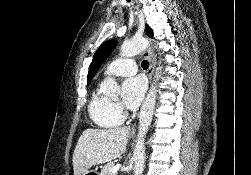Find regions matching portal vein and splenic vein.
I'll return each instance as SVG.
<instances>
[{"label": "portal vein and splenic vein", "mask_w": 251, "mask_h": 175, "mask_svg": "<svg viewBox=\"0 0 251 175\" xmlns=\"http://www.w3.org/2000/svg\"><path fill=\"white\" fill-rule=\"evenodd\" d=\"M119 167H121V163H117V165H114V167L112 169V173H117Z\"/></svg>", "instance_id": "portal-vein-and-splenic-vein-1"}]
</instances>
